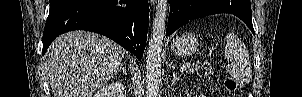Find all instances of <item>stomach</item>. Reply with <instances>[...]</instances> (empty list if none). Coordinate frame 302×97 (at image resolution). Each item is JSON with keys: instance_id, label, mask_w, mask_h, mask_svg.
<instances>
[{"instance_id": "stomach-1", "label": "stomach", "mask_w": 302, "mask_h": 97, "mask_svg": "<svg viewBox=\"0 0 302 97\" xmlns=\"http://www.w3.org/2000/svg\"><path fill=\"white\" fill-rule=\"evenodd\" d=\"M198 39L192 33L186 32L172 39L171 50L178 56H190L198 48Z\"/></svg>"}]
</instances>
